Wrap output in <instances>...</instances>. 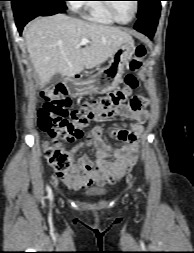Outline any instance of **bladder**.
<instances>
[{
    "label": "bladder",
    "mask_w": 194,
    "mask_h": 253,
    "mask_svg": "<svg viewBox=\"0 0 194 253\" xmlns=\"http://www.w3.org/2000/svg\"><path fill=\"white\" fill-rule=\"evenodd\" d=\"M109 194V191L104 187H92L87 189L83 195L86 198L100 199L104 198Z\"/></svg>",
    "instance_id": "bladder-1"
}]
</instances>
